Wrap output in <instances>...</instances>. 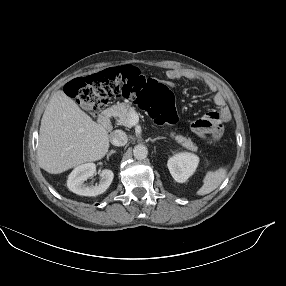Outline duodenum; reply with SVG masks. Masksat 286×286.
<instances>
[{"mask_svg":"<svg viewBox=\"0 0 286 286\" xmlns=\"http://www.w3.org/2000/svg\"><path fill=\"white\" fill-rule=\"evenodd\" d=\"M100 124L105 130H110L112 128L111 123V110L109 108L104 109L100 115Z\"/></svg>","mask_w":286,"mask_h":286,"instance_id":"1","label":"duodenum"}]
</instances>
